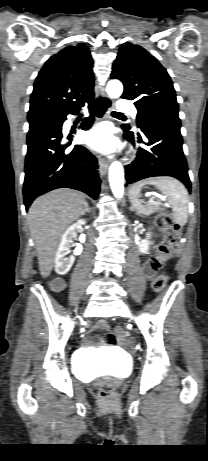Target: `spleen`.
Returning a JSON list of instances; mask_svg holds the SVG:
<instances>
[{"label":"spleen","instance_id":"obj_1","mask_svg":"<svg viewBox=\"0 0 208 461\" xmlns=\"http://www.w3.org/2000/svg\"><path fill=\"white\" fill-rule=\"evenodd\" d=\"M145 185H153L168 198L173 217L177 224L183 226L188 220V192L184 185L172 177H153L141 180L132 185L129 191V199L139 214L150 215L153 211L150 206L146 207L139 199L141 189Z\"/></svg>","mask_w":208,"mask_h":461}]
</instances>
